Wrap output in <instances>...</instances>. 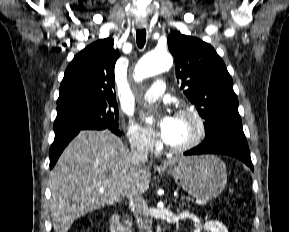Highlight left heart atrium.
I'll use <instances>...</instances> for the list:
<instances>
[{"label":"left heart atrium","mask_w":289,"mask_h":232,"mask_svg":"<svg viewBox=\"0 0 289 232\" xmlns=\"http://www.w3.org/2000/svg\"><path fill=\"white\" fill-rule=\"evenodd\" d=\"M142 121L163 142L170 144L175 135L176 117L167 112L147 113Z\"/></svg>","instance_id":"39dd6f15"}]
</instances>
